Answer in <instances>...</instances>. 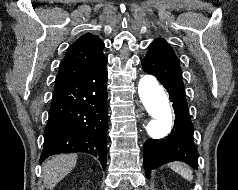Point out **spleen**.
<instances>
[{
  "mask_svg": "<svg viewBox=\"0 0 238 190\" xmlns=\"http://www.w3.org/2000/svg\"><path fill=\"white\" fill-rule=\"evenodd\" d=\"M170 168L179 173L183 178L191 181L193 180V174L191 169L183 163L174 162L170 164Z\"/></svg>",
  "mask_w": 238,
  "mask_h": 190,
  "instance_id": "3e777b00",
  "label": "spleen"
}]
</instances>
